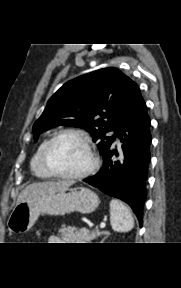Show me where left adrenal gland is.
<instances>
[{"mask_svg": "<svg viewBox=\"0 0 181 288\" xmlns=\"http://www.w3.org/2000/svg\"><path fill=\"white\" fill-rule=\"evenodd\" d=\"M107 237V236H106ZM106 237H104L103 239H102V241H104L105 239H106Z\"/></svg>", "mask_w": 181, "mask_h": 288, "instance_id": "1", "label": "left adrenal gland"}]
</instances>
